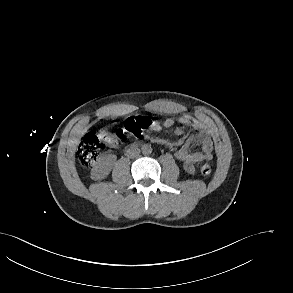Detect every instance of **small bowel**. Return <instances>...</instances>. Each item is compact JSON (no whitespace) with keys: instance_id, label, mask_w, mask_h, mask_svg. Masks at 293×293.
Segmentation results:
<instances>
[{"instance_id":"c3829d8e","label":"small bowel","mask_w":293,"mask_h":293,"mask_svg":"<svg viewBox=\"0 0 293 293\" xmlns=\"http://www.w3.org/2000/svg\"><path fill=\"white\" fill-rule=\"evenodd\" d=\"M180 126L176 127L174 133L176 135L185 134V127H191L195 130V133L188 136L183 145L178 148L174 155L175 157L185 163L196 164L203 161H209L213 158V142L209 136L205 123L188 115L181 116L178 119ZM175 125V120L172 118H166L161 124H157L154 130H160L162 127L171 128ZM198 145L201 147L200 151L190 152V147Z\"/></svg>"}]
</instances>
